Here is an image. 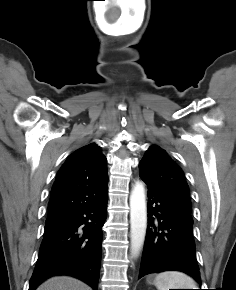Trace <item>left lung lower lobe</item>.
<instances>
[{
    "label": "left lung lower lobe",
    "mask_w": 236,
    "mask_h": 290,
    "mask_svg": "<svg viewBox=\"0 0 236 290\" xmlns=\"http://www.w3.org/2000/svg\"><path fill=\"white\" fill-rule=\"evenodd\" d=\"M191 210L170 193L148 187V228L139 278L155 272L178 270L199 284Z\"/></svg>",
    "instance_id": "0a47b994"
}]
</instances>
